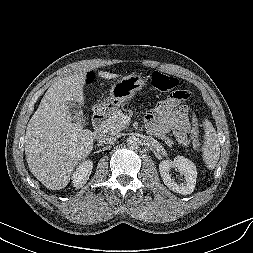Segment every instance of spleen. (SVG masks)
Segmentation results:
<instances>
[{
  "label": "spleen",
  "mask_w": 253,
  "mask_h": 253,
  "mask_svg": "<svg viewBox=\"0 0 253 253\" xmlns=\"http://www.w3.org/2000/svg\"><path fill=\"white\" fill-rule=\"evenodd\" d=\"M204 127V145L202 147V158L207 168L212 170L215 168L220 157V145L216 130L212 123L205 119L203 121Z\"/></svg>",
  "instance_id": "obj_1"
}]
</instances>
